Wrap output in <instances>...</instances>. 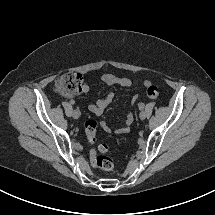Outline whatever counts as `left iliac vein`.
Here are the masks:
<instances>
[{"label":"left iliac vein","mask_w":215,"mask_h":215,"mask_svg":"<svg viewBox=\"0 0 215 215\" xmlns=\"http://www.w3.org/2000/svg\"><path fill=\"white\" fill-rule=\"evenodd\" d=\"M139 117H140V119H145L146 118V114H145V112H141L140 114H139Z\"/></svg>","instance_id":"obj_1"}]
</instances>
